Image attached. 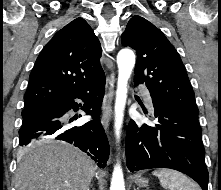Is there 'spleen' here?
<instances>
[{"label": "spleen", "mask_w": 221, "mask_h": 190, "mask_svg": "<svg viewBox=\"0 0 221 190\" xmlns=\"http://www.w3.org/2000/svg\"><path fill=\"white\" fill-rule=\"evenodd\" d=\"M152 175L158 177L161 186L167 190H201L194 181L172 169H156Z\"/></svg>", "instance_id": "spleen-1"}]
</instances>
